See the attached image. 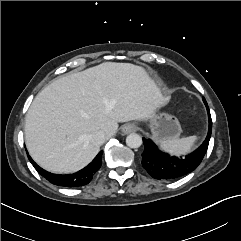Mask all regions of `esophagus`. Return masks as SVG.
Instances as JSON below:
<instances>
[{
    "instance_id": "obj_1",
    "label": "esophagus",
    "mask_w": 241,
    "mask_h": 241,
    "mask_svg": "<svg viewBox=\"0 0 241 241\" xmlns=\"http://www.w3.org/2000/svg\"><path fill=\"white\" fill-rule=\"evenodd\" d=\"M136 129H137V127H136L135 124L128 123V124H125V125L122 126L121 131L124 134H129V133L135 132Z\"/></svg>"
}]
</instances>
